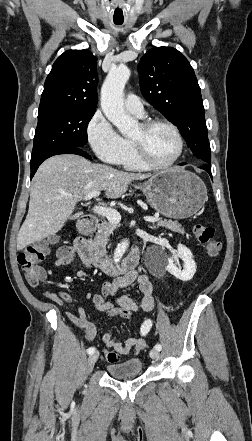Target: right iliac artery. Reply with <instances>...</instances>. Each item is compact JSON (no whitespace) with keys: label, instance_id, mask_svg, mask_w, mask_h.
<instances>
[{"label":"right iliac artery","instance_id":"82829eb1","mask_svg":"<svg viewBox=\"0 0 252 441\" xmlns=\"http://www.w3.org/2000/svg\"><path fill=\"white\" fill-rule=\"evenodd\" d=\"M87 353L90 354V355L93 354V353H95V347H90V348H88V349H87Z\"/></svg>","mask_w":252,"mask_h":441}]
</instances>
